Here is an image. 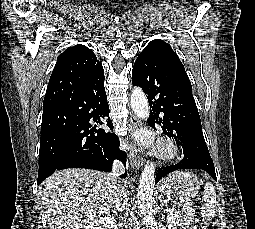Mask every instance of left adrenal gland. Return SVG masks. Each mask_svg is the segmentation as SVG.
Listing matches in <instances>:
<instances>
[{
  "instance_id": "1",
  "label": "left adrenal gland",
  "mask_w": 255,
  "mask_h": 229,
  "mask_svg": "<svg viewBox=\"0 0 255 229\" xmlns=\"http://www.w3.org/2000/svg\"><path fill=\"white\" fill-rule=\"evenodd\" d=\"M159 209H160V212H161V210H163V202H162V200L160 201Z\"/></svg>"
}]
</instances>
